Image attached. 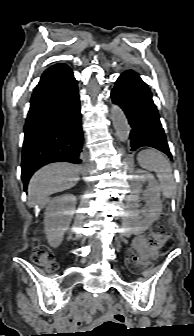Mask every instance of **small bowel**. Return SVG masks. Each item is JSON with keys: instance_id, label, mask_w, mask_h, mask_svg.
Returning <instances> with one entry per match:
<instances>
[{"instance_id": "small-bowel-1", "label": "small bowel", "mask_w": 194, "mask_h": 336, "mask_svg": "<svg viewBox=\"0 0 194 336\" xmlns=\"http://www.w3.org/2000/svg\"><path fill=\"white\" fill-rule=\"evenodd\" d=\"M136 246L144 253L145 257H147V255H148L147 254V248H146L145 241H144L143 237H139L136 240ZM100 300H101V302L102 301H106L105 298L100 299ZM69 322L72 325H74L76 327H79V326H81L83 324L84 319L81 316L74 315V316H72V317L69 318Z\"/></svg>"}]
</instances>
